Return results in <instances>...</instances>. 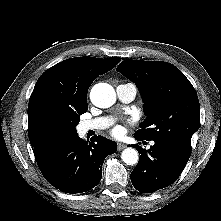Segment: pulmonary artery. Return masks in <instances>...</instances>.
Listing matches in <instances>:
<instances>
[{
    "instance_id": "1",
    "label": "pulmonary artery",
    "mask_w": 221,
    "mask_h": 221,
    "mask_svg": "<svg viewBox=\"0 0 221 221\" xmlns=\"http://www.w3.org/2000/svg\"><path fill=\"white\" fill-rule=\"evenodd\" d=\"M117 96L123 103H130L134 100L137 89L132 83L120 84L116 88ZM111 119L107 117H99L92 120H87L81 123L80 128L83 132L90 130H102L111 124Z\"/></svg>"
}]
</instances>
